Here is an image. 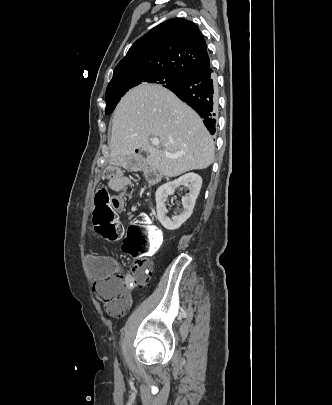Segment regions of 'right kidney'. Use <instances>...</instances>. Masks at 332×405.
<instances>
[{
    "label": "right kidney",
    "mask_w": 332,
    "mask_h": 405,
    "mask_svg": "<svg viewBox=\"0 0 332 405\" xmlns=\"http://www.w3.org/2000/svg\"><path fill=\"white\" fill-rule=\"evenodd\" d=\"M181 185L187 186L189 194L182 197L183 211L172 218L167 217L166 199L173 195L175 189ZM202 186V178L195 173H188L176 180L161 185L156 191L157 218L164 228L173 231L178 229L192 214L196 199Z\"/></svg>",
    "instance_id": "obj_1"
}]
</instances>
